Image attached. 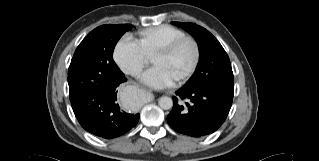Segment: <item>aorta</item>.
Instances as JSON below:
<instances>
[{"instance_id":"762f6f07","label":"aorta","mask_w":319,"mask_h":161,"mask_svg":"<svg viewBox=\"0 0 319 161\" xmlns=\"http://www.w3.org/2000/svg\"><path fill=\"white\" fill-rule=\"evenodd\" d=\"M159 106L164 110H169L173 106L172 98L168 96H162L158 101Z\"/></svg>"}]
</instances>
